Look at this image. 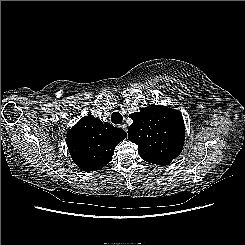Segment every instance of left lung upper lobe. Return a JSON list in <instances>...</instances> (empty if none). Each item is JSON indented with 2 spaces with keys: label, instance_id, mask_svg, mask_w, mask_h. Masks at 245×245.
I'll return each mask as SVG.
<instances>
[{
  "label": "left lung upper lobe",
  "instance_id": "obj_1",
  "mask_svg": "<svg viewBox=\"0 0 245 245\" xmlns=\"http://www.w3.org/2000/svg\"><path fill=\"white\" fill-rule=\"evenodd\" d=\"M130 117L133 124L128 128V139L138 145L143 160L164 166L179 156L185 139L179 111L163 105H148Z\"/></svg>",
  "mask_w": 245,
  "mask_h": 245
}]
</instances>
